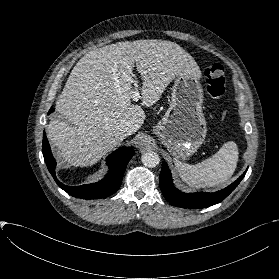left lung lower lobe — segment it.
<instances>
[{
	"instance_id": "left-lung-lower-lobe-1",
	"label": "left lung lower lobe",
	"mask_w": 279,
	"mask_h": 279,
	"mask_svg": "<svg viewBox=\"0 0 279 279\" xmlns=\"http://www.w3.org/2000/svg\"><path fill=\"white\" fill-rule=\"evenodd\" d=\"M246 171L231 185L215 193L196 192L188 194L174 187L171 172L167 163L163 162L160 172V188L165 199L173 206L188 209L206 208L224 200L238 186Z\"/></svg>"
}]
</instances>
